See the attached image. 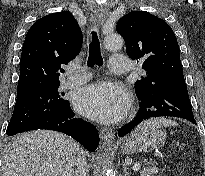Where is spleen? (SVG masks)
<instances>
[{
	"label": "spleen",
	"mask_w": 205,
	"mask_h": 176,
	"mask_svg": "<svg viewBox=\"0 0 205 176\" xmlns=\"http://www.w3.org/2000/svg\"><path fill=\"white\" fill-rule=\"evenodd\" d=\"M175 121L166 119V118H154L143 122L139 127L152 126V127H166V126H176Z\"/></svg>",
	"instance_id": "1"
}]
</instances>
